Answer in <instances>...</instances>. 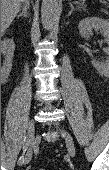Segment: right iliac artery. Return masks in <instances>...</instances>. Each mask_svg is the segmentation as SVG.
<instances>
[{
    "mask_svg": "<svg viewBox=\"0 0 109 170\" xmlns=\"http://www.w3.org/2000/svg\"><path fill=\"white\" fill-rule=\"evenodd\" d=\"M27 148H28V143L25 139L24 145H23V154L26 152ZM23 163H24V156L22 155L18 160V165H22Z\"/></svg>",
    "mask_w": 109,
    "mask_h": 170,
    "instance_id": "1",
    "label": "right iliac artery"
}]
</instances>
